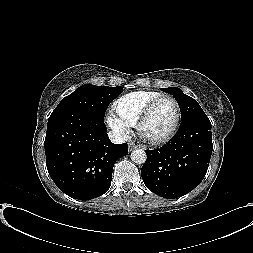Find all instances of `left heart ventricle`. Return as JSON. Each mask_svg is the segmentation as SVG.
Wrapping results in <instances>:
<instances>
[{
	"instance_id": "obj_1",
	"label": "left heart ventricle",
	"mask_w": 253,
	"mask_h": 253,
	"mask_svg": "<svg viewBox=\"0 0 253 253\" xmlns=\"http://www.w3.org/2000/svg\"><path fill=\"white\" fill-rule=\"evenodd\" d=\"M176 118V108L171 100H162L152 112L144 126V134L150 138L164 136L172 128Z\"/></svg>"
}]
</instances>
